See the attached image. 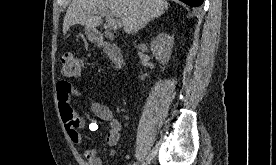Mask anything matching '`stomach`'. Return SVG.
Returning a JSON list of instances; mask_svg holds the SVG:
<instances>
[{
    "label": "stomach",
    "instance_id": "1",
    "mask_svg": "<svg viewBox=\"0 0 276 165\" xmlns=\"http://www.w3.org/2000/svg\"><path fill=\"white\" fill-rule=\"evenodd\" d=\"M85 33L87 35V38L91 41H94L98 36V32L96 31V29L89 28V27H86Z\"/></svg>",
    "mask_w": 276,
    "mask_h": 165
}]
</instances>
